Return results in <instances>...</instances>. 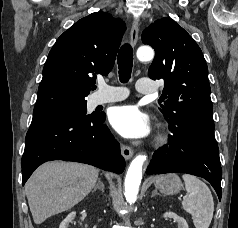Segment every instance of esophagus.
Instances as JSON below:
<instances>
[{
    "label": "esophagus",
    "mask_w": 238,
    "mask_h": 228,
    "mask_svg": "<svg viewBox=\"0 0 238 228\" xmlns=\"http://www.w3.org/2000/svg\"><path fill=\"white\" fill-rule=\"evenodd\" d=\"M138 34H139V23L137 20H134L130 31V43L132 46L136 45L138 41ZM121 152L126 160L131 159L134 154L133 149L126 145H121Z\"/></svg>",
    "instance_id": "34e87169"
}]
</instances>
